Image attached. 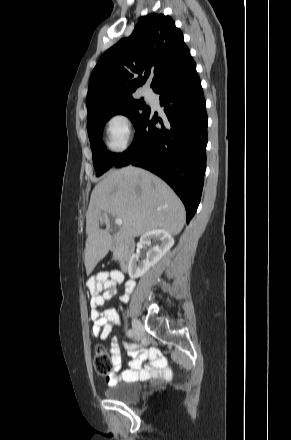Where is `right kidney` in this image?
<instances>
[{"instance_id":"1","label":"right kidney","mask_w":291,"mask_h":440,"mask_svg":"<svg viewBox=\"0 0 291 440\" xmlns=\"http://www.w3.org/2000/svg\"><path fill=\"white\" fill-rule=\"evenodd\" d=\"M151 240L156 241L158 244L151 248L147 254L145 260H139V255L134 254L128 265V274L130 278L136 279L143 276L150 267L154 266L173 246V237L163 229H155L146 232L140 238L142 245H150Z\"/></svg>"}]
</instances>
